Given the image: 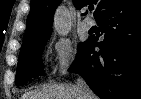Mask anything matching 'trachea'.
<instances>
[{"label":"trachea","mask_w":141,"mask_h":99,"mask_svg":"<svg viewBox=\"0 0 141 99\" xmlns=\"http://www.w3.org/2000/svg\"><path fill=\"white\" fill-rule=\"evenodd\" d=\"M93 9H94V7H90V8H89L90 11L93 10Z\"/></svg>","instance_id":"trachea-1"}]
</instances>
